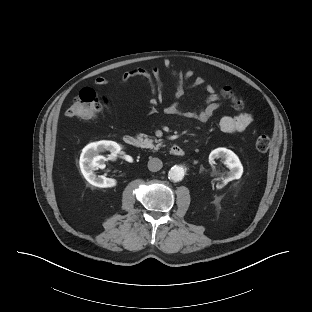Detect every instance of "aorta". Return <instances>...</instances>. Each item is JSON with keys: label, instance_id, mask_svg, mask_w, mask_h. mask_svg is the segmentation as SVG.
Wrapping results in <instances>:
<instances>
[{"label": "aorta", "instance_id": "aorta-1", "mask_svg": "<svg viewBox=\"0 0 312 312\" xmlns=\"http://www.w3.org/2000/svg\"><path fill=\"white\" fill-rule=\"evenodd\" d=\"M185 175L183 166H173L168 172V178L174 182L181 181Z\"/></svg>", "mask_w": 312, "mask_h": 312}]
</instances>
